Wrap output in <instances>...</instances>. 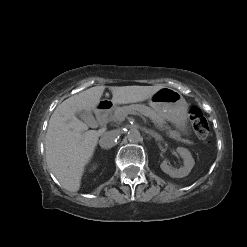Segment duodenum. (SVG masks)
I'll list each match as a JSON object with an SVG mask.
<instances>
[{"label":"duodenum","instance_id":"410a0bca","mask_svg":"<svg viewBox=\"0 0 247 247\" xmlns=\"http://www.w3.org/2000/svg\"><path fill=\"white\" fill-rule=\"evenodd\" d=\"M110 108L109 103H102L96 108L95 116L101 126L105 125Z\"/></svg>","mask_w":247,"mask_h":247}]
</instances>
